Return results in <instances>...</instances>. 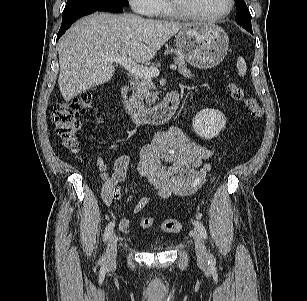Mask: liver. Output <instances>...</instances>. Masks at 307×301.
Wrapping results in <instances>:
<instances>
[{"label":"liver","mask_w":307,"mask_h":301,"mask_svg":"<svg viewBox=\"0 0 307 301\" xmlns=\"http://www.w3.org/2000/svg\"><path fill=\"white\" fill-rule=\"evenodd\" d=\"M188 23L145 19L135 14L98 13L78 20L60 39L59 89L66 101L108 82L115 71L105 58L129 56L137 63L157 51Z\"/></svg>","instance_id":"1"}]
</instances>
